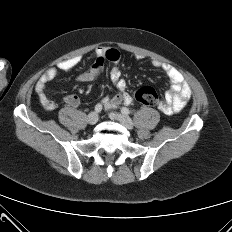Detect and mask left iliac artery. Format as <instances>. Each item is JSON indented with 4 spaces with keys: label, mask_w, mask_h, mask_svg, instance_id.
I'll return each mask as SVG.
<instances>
[{
    "label": "left iliac artery",
    "mask_w": 232,
    "mask_h": 232,
    "mask_svg": "<svg viewBox=\"0 0 232 232\" xmlns=\"http://www.w3.org/2000/svg\"><path fill=\"white\" fill-rule=\"evenodd\" d=\"M121 112H122V114H125V115L130 114V110L126 107H122Z\"/></svg>",
    "instance_id": "44dca946"
}]
</instances>
